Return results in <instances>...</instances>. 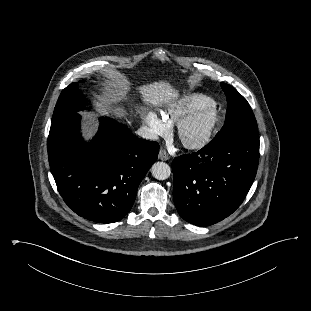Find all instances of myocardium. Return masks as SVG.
<instances>
[{
    "label": "myocardium",
    "instance_id": "1",
    "mask_svg": "<svg viewBox=\"0 0 311 311\" xmlns=\"http://www.w3.org/2000/svg\"><path fill=\"white\" fill-rule=\"evenodd\" d=\"M200 120H205V130L202 136L196 140H187L184 137L186 130ZM219 111L215 103H209L182 119L177 125V135L183 146L190 150H200L211 141L217 124Z\"/></svg>",
    "mask_w": 311,
    "mask_h": 311
}]
</instances>
